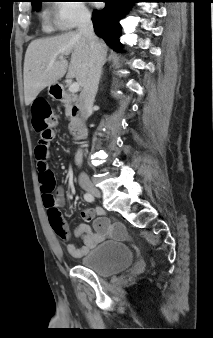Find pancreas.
Masks as SVG:
<instances>
[{"mask_svg":"<svg viewBox=\"0 0 213 338\" xmlns=\"http://www.w3.org/2000/svg\"><path fill=\"white\" fill-rule=\"evenodd\" d=\"M70 95H67V99L64 100V106H65V114L66 117H69L70 120V125H69V129L72 131L74 130V126L76 123V118L72 116V103L69 99Z\"/></svg>","mask_w":213,"mask_h":338,"instance_id":"pancreas-1","label":"pancreas"}]
</instances>
